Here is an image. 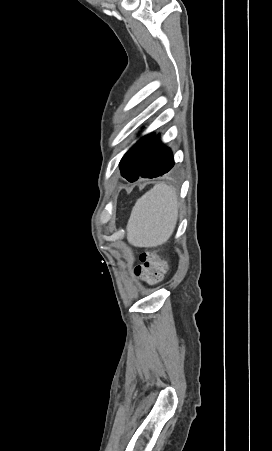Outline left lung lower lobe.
Masks as SVG:
<instances>
[{
    "label": "left lung lower lobe",
    "instance_id": "obj_1",
    "mask_svg": "<svg viewBox=\"0 0 272 451\" xmlns=\"http://www.w3.org/2000/svg\"><path fill=\"white\" fill-rule=\"evenodd\" d=\"M173 166L172 151L170 148L164 146L159 140V135H156L152 140L140 173L134 178H127V180L134 182L139 177H158L169 172Z\"/></svg>",
    "mask_w": 272,
    "mask_h": 451
}]
</instances>
